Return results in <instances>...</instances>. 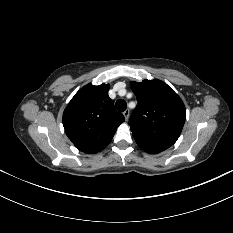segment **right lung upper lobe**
Segmentation results:
<instances>
[{"label": "right lung upper lobe", "instance_id": "right-lung-upper-lobe-1", "mask_svg": "<svg viewBox=\"0 0 233 233\" xmlns=\"http://www.w3.org/2000/svg\"><path fill=\"white\" fill-rule=\"evenodd\" d=\"M108 91L109 84H88L75 94L64 110L65 132L84 153L93 154L106 148L125 120L123 114L115 110Z\"/></svg>", "mask_w": 233, "mask_h": 233}]
</instances>
